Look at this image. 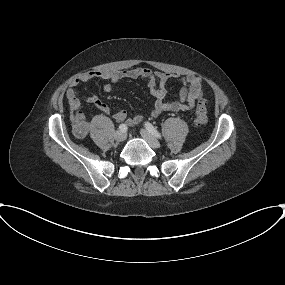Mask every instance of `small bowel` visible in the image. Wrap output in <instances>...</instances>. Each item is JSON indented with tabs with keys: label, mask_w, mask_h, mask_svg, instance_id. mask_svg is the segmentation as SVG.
<instances>
[{
	"label": "small bowel",
	"mask_w": 285,
	"mask_h": 285,
	"mask_svg": "<svg viewBox=\"0 0 285 285\" xmlns=\"http://www.w3.org/2000/svg\"><path fill=\"white\" fill-rule=\"evenodd\" d=\"M95 78L106 81L103 85V90L107 93L112 91L113 84H116L123 79L145 80L149 86L150 93L154 98V105L150 112L153 117H156L163 112H179L191 109L203 96V82L201 78L195 75H181L178 73L161 71L155 72L145 67H137L123 71H89L74 79L66 92L69 106L76 111L73 117L76 123L86 121V116L81 109L82 98L77 91V87L81 83ZM170 79H177L181 83L179 97L174 101L165 100L167 94L165 86ZM86 101L92 103L101 112L107 114L111 113V108L95 94L88 96ZM113 118L118 122H125L127 126H135L143 120L144 116L142 114H137L133 117H128L125 110L119 109L113 113Z\"/></svg>",
	"instance_id": "small-bowel-1"
}]
</instances>
